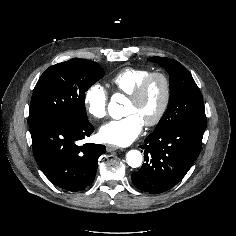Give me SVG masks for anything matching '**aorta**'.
<instances>
[{
    "instance_id": "1",
    "label": "aorta",
    "mask_w": 236,
    "mask_h": 236,
    "mask_svg": "<svg viewBox=\"0 0 236 236\" xmlns=\"http://www.w3.org/2000/svg\"><path fill=\"white\" fill-rule=\"evenodd\" d=\"M124 100V96L115 94L112 96L111 101L108 105V112L113 118H119L121 116V105L120 103ZM142 154L138 150H130L126 154L127 164L132 168H137L142 164Z\"/></svg>"
}]
</instances>
